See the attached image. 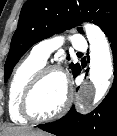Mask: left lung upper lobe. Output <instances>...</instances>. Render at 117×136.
Listing matches in <instances>:
<instances>
[{
  "label": "left lung upper lobe",
  "instance_id": "1",
  "mask_svg": "<svg viewBox=\"0 0 117 136\" xmlns=\"http://www.w3.org/2000/svg\"><path fill=\"white\" fill-rule=\"evenodd\" d=\"M117 16V0H28L22 7L17 29L5 62L4 81L26 51L39 41L92 21L103 31ZM79 33H84L80 27ZM73 76L79 64H71Z\"/></svg>",
  "mask_w": 117,
  "mask_h": 136
}]
</instances>
